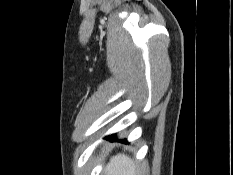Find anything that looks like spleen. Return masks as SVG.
<instances>
[{"mask_svg": "<svg viewBox=\"0 0 233 175\" xmlns=\"http://www.w3.org/2000/svg\"><path fill=\"white\" fill-rule=\"evenodd\" d=\"M106 175H139L137 165L127 156L112 157L105 168Z\"/></svg>", "mask_w": 233, "mask_h": 175, "instance_id": "1", "label": "spleen"}]
</instances>
